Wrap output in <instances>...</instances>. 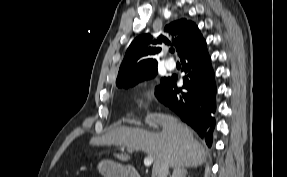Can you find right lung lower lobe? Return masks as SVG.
<instances>
[{
	"label": "right lung lower lobe",
	"instance_id": "right-lung-lower-lobe-1",
	"mask_svg": "<svg viewBox=\"0 0 287 177\" xmlns=\"http://www.w3.org/2000/svg\"><path fill=\"white\" fill-rule=\"evenodd\" d=\"M179 56L185 72L183 86L177 87V75L165 77L156 88V96L211 146L216 86L206 42L200 32L190 39Z\"/></svg>",
	"mask_w": 287,
	"mask_h": 177
}]
</instances>
